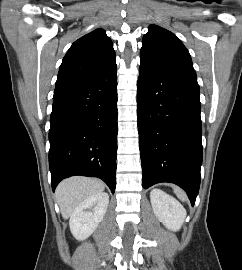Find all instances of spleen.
Here are the masks:
<instances>
[{
    "label": "spleen",
    "mask_w": 242,
    "mask_h": 270,
    "mask_svg": "<svg viewBox=\"0 0 242 270\" xmlns=\"http://www.w3.org/2000/svg\"><path fill=\"white\" fill-rule=\"evenodd\" d=\"M174 193L177 195V197L182 200V201H186V194L184 193V191H182L181 189L175 187L174 188Z\"/></svg>",
    "instance_id": "spleen-1"
}]
</instances>
